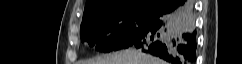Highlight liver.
<instances>
[{"mask_svg": "<svg viewBox=\"0 0 242 64\" xmlns=\"http://www.w3.org/2000/svg\"><path fill=\"white\" fill-rule=\"evenodd\" d=\"M190 23L194 28L193 17L190 18ZM84 64H165V62L139 50L127 49L109 56L90 59Z\"/></svg>", "mask_w": 242, "mask_h": 64, "instance_id": "liver-1", "label": "liver"}]
</instances>
